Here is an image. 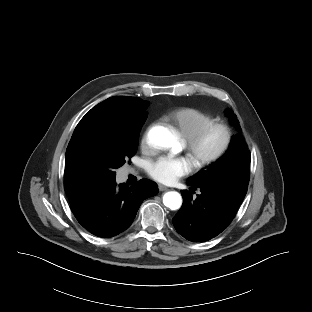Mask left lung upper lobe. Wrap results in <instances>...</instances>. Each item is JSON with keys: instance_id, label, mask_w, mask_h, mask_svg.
Wrapping results in <instances>:
<instances>
[{"instance_id": "1", "label": "left lung upper lobe", "mask_w": 312, "mask_h": 312, "mask_svg": "<svg viewBox=\"0 0 312 312\" xmlns=\"http://www.w3.org/2000/svg\"><path fill=\"white\" fill-rule=\"evenodd\" d=\"M234 124L239 127V121L232 112ZM250 152L240 134L232 137L229 150L224 156L209 165L205 170L188 179L193 185H211L227 190L235 200L242 203L249 183Z\"/></svg>"}]
</instances>
